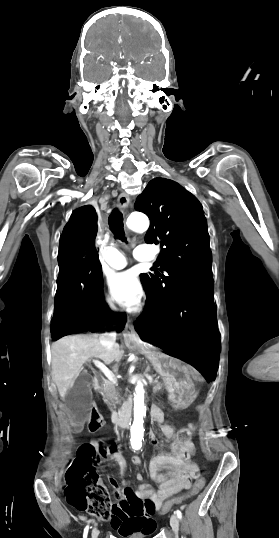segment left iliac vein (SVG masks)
Segmentation results:
<instances>
[{
  "label": "left iliac vein",
  "instance_id": "4c4485c4",
  "mask_svg": "<svg viewBox=\"0 0 279 538\" xmlns=\"http://www.w3.org/2000/svg\"><path fill=\"white\" fill-rule=\"evenodd\" d=\"M170 524L172 527V530L174 532L175 538H178V530H179V520L176 514H172L170 518Z\"/></svg>",
  "mask_w": 279,
  "mask_h": 538
}]
</instances>
